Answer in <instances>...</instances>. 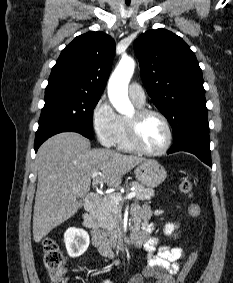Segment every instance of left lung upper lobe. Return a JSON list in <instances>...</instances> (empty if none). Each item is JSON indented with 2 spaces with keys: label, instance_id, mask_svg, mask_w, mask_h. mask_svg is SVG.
Masks as SVG:
<instances>
[{
  "label": "left lung upper lobe",
  "instance_id": "obj_1",
  "mask_svg": "<svg viewBox=\"0 0 233 283\" xmlns=\"http://www.w3.org/2000/svg\"><path fill=\"white\" fill-rule=\"evenodd\" d=\"M141 76L155 106L177 139L193 129H208L202 70L194 52L176 34L159 28L134 42Z\"/></svg>",
  "mask_w": 233,
  "mask_h": 283
}]
</instances>
